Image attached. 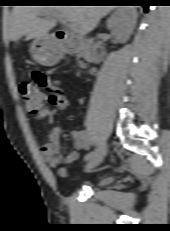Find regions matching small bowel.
<instances>
[{"label":"small bowel","instance_id":"small-bowel-1","mask_svg":"<svg viewBox=\"0 0 170 231\" xmlns=\"http://www.w3.org/2000/svg\"><path fill=\"white\" fill-rule=\"evenodd\" d=\"M32 78L38 87L43 88L47 92V100L53 106L44 104L41 110L36 114L37 120L48 119L54 125L47 139L40 147L41 155L44 162L50 167L58 169L61 176L67 174V168L61 167L62 164L67 166L74 163L80 157V150H88L91 146L90 138L86 131H77L74 134L75 150L68 154L62 153L61 147V127L56 120L59 111L67 107V99L61 92L58 85L53 83L49 75L42 70H34Z\"/></svg>","mask_w":170,"mask_h":231}]
</instances>
